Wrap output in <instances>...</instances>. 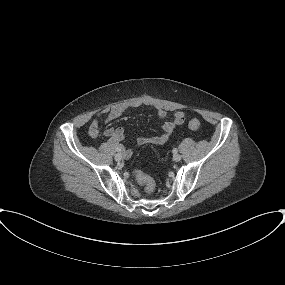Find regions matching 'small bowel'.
Returning a JSON list of instances; mask_svg holds the SVG:
<instances>
[{
	"mask_svg": "<svg viewBox=\"0 0 285 285\" xmlns=\"http://www.w3.org/2000/svg\"><path fill=\"white\" fill-rule=\"evenodd\" d=\"M150 107L153 108L158 116L165 121L162 124L163 132L160 135L145 137L141 136L136 139V142L140 145L154 144L162 145L165 144L174 132L175 126L181 124L184 121V114L182 112H175L173 114V120H168L170 113L162 105L153 103L148 100H133L129 102L120 103L114 105L108 109L103 110L99 117H104L106 122H111L119 117H121L126 112L141 108ZM88 134L92 138H96L100 134V125L97 119L93 120L89 126ZM104 136L108 137V143L112 146L119 147L122 152L127 153L128 156L131 155L129 149L125 148L121 143L124 140L125 133L122 127H109L104 130Z\"/></svg>",
	"mask_w": 285,
	"mask_h": 285,
	"instance_id": "obj_1",
	"label": "small bowel"
}]
</instances>
